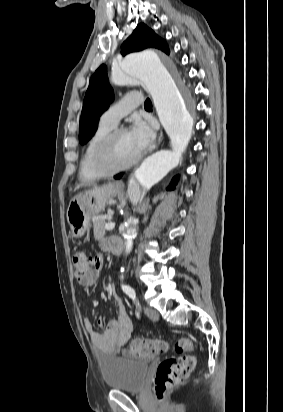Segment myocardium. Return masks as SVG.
<instances>
[{
  "label": "myocardium",
  "instance_id": "obj_1",
  "mask_svg": "<svg viewBox=\"0 0 283 412\" xmlns=\"http://www.w3.org/2000/svg\"><path fill=\"white\" fill-rule=\"evenodd\" d=\"M126 131L125 128L111 130L98 146L94 156V165L101 175L108 176L124 171L137 164L141 159V154L139 153L133 160L126 164L117 165L112 161L115 140L118 135Z\"/></svg>",
  "mask_w": 283,
  "mask_h": 412
}]
</instances>
